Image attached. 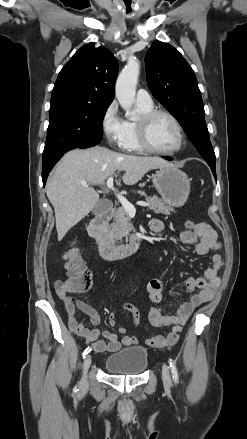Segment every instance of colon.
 I'll list each match as a JSON object with an SVG mask.
<instances>
[{"instance_id": "colon-1", "label": "colon", "mask_w": 247, "mask_h": 439, "mask_svg": "<svg viewBox=\"0 0 247 439\" xmlns=\"http://www.w3.org/2000/svg\"><path fill=\"white\" fill-rule=\"evenodd\" d=\"M197 224L193 221H186L187 229H194ZM65 267L67 275L71 280V289L76 292H84L90 289L92 285V275L85 268L77 248L71 245L64 253Z\"/></svg>"}]
</instances>
